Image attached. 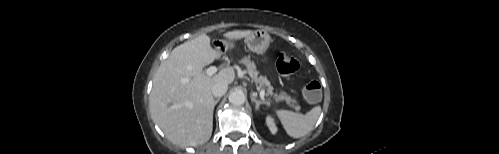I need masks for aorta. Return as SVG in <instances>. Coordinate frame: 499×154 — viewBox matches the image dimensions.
<instances>
[{
    "instance_id": "aorta-1",
    "label": "aorta",
    "mask_w": 499,
    "mask_h": 154,
    "mask_svg": "<svg viewBox=\"0 0 499 154\" xmlns=\"http://www.w3.org/2000/svg\"><path fill=\"white\" fill-rule=\"evenodd\" d=\"M228 99L231 104L238 106L244 104L246 97L242 91L236 90L230 93Z\"/></svg>"
}]
</instances>
